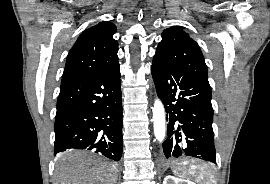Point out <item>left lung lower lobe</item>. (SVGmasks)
<instances>
[{
    "label": "left lung lower lobe",
    "mask_w": 270,
    "mask_h": 184,
    "mask_svg": "<svg viewBox=\"0 0 270 184\" xmlns=\"http://www.w3.org/2000/svg\"><path fill=\"white\" fill-rule=\"evenodd\" d=\"M151 72L167 113L165 157L190 156L216 163L211 88L182 66L157 56Z\"/></svg>",
    "instance_id": "left-lung-lower-lobe-1"
}]
</instances>
